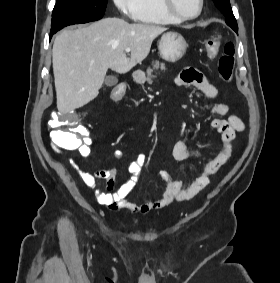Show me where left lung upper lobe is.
<instances>
[{
    "label": "left lung upper lobe",
    "instance_id": "left-lung-upper-lobe-1",
    "mask_svg": "<svg viewBox=\"0 0 280 283\" xmlns=\"http://www.w3.org/2000/svg\"><path fill=\"white\" fill-rule=\"evenodd\" d=\"M216 7L226 16L225 22L235 32L238 31L237 21L233 15L229 0H213Z\"/></svg>",
    "mask_w": 280,
    "mask_h": 283
}]
</instances>
